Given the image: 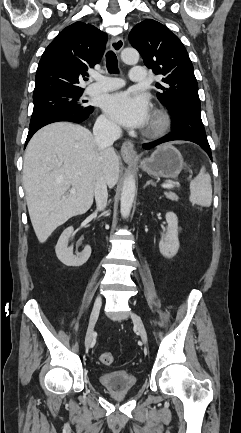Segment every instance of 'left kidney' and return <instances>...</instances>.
I'll list each match as a JSON object with an SVG mask.
<instances>
[{
	"mask_svg": "<svg viewBox=\"0 0 241 433\" xmlns=\"http://www.w3.org/2000/svg\"><path fill=\"white\" fill-rule=\"evenodd\" d=\"M167 230L159 243L160 253L166 258L174 257L179 250L178 218L173 212L166 213Z\"/></svg>",
	"mask_w": 241,
	"mask_h": 433,
	"instance_id": "obj_1",
	"label": "left kidney"
}]
</instances>
